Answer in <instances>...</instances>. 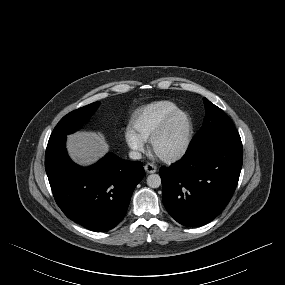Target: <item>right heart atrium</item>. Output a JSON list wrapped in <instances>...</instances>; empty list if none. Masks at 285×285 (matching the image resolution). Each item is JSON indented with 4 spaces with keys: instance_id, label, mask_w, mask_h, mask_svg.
Instances as JSON below:
<instances>
[{
    "instance_id": "1",
    "label": "right heart atrium",
    "mask_w": 285,
    "mask_h": 285,
    "mask_svg": "<svg viewBox=\"0 0 285 285\" xmlns=\"http://www.w3.org/2000/svg\"><path fill=\"white\" fill-rule=\"evenodd\" d=\"M125 138L128 146L134 152L140 153L145 148V140L140 137L132 128H128L125 132Z\"/></svg>"
}]
</instances>
